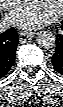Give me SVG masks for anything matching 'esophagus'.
I'll return each instance as SVG.
<instances>
[{
    "label": "esophagus",
    "mask_w": 63,
    "mask_h": 107,
    "mask_svg": "<svg viewBox=\"0 0 63 107\" xmlns=\"http://www.w3.org/2000/svg\"><path fill=\"white\" fill-rule=\"evenodd\" d=\"M35 34L36 31H31V30H25L20 32L21 36H27L28 38L34 36Z\"/></svg>",
    "instance_id": "1"
}]
</instances>
